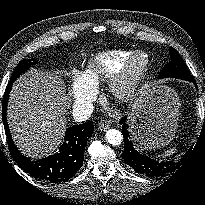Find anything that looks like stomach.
<instances>
[{
  "label": "stomach",
  "instance_id": "obj_1",
  "mask_svg": "<svg viewBox=\"0 0 205 205\" xmlns=\"http://www.w3.org/2000/svg\"><path fill=\"white\" fill-rule=\"evenodd\" d=\"M177 94L166 87H144L132 108L131 130L140 147L159 149L168 145L178 129Z\"/></svg>",
  "mask_w": 205,
  "mask_h": 205
}]
</instances>
